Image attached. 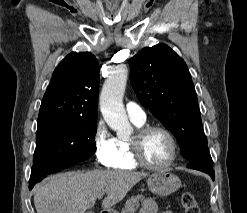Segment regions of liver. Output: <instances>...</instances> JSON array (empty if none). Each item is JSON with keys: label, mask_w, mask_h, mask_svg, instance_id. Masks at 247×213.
I'll list each match as a JSON object with an SVG mask.
<instances>
[{"label": "liver", "mask_w": 247, "mask_h": 213, "mask_svg": "<svg viewBox=\"0 0 247 213\" xmlns=\"http://www.w3.org/2000/svg\"><path fill=\"white\" fill-rule=\"evenodd\" d=\"M146 176L144 172L122 170L60 173L35 187V209L37 213H85L105 191L102 207L109 209Z\"/></svg>", "instance_id": "obj_1"}]
</instances>
